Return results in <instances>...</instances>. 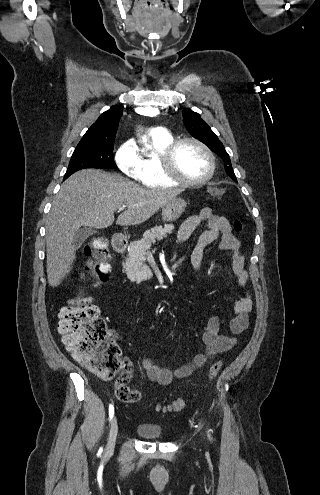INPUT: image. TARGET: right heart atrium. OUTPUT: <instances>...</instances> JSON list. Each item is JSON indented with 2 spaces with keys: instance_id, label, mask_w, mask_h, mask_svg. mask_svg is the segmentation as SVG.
<instances>
[{
  "instance_id": "obj_1",
  "label": "right heart atrium",
  "mask_w": 320,
  "mask_h": 495,
  "mask_svg": "<svg viewBox=\"0 0 320 495\" xmlns=\"http://www.w3.org/2000/svg\"><path fill=\"white\" fill-rule=\"evenodd\" d=\"M118 168L130 178L141 181V159L132 140L120 145L115 154Z\"/></svg>"
}]
</instances>
